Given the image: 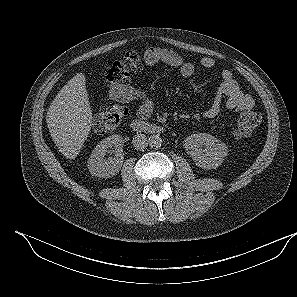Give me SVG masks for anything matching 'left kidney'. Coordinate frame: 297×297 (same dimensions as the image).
I'll return each mask as SVG.
<instances>
[{
  "instance_id": "5707ae66",
  "label": "left kidney",
  "mask_w": 297,
  "mask_h": 297,
  "mask_svg": "<svg viewBox=\"0 0 297 297\" xmlns=\"http://www.w3.org/2000/svg\"><path fill=\"white\" fill-rule=\"evenodd\" d=\"M183 146L195 164L206 170L220 166L228 154L226 144L207 133L188 136Z\"/></svg>"
}]
</instances>
